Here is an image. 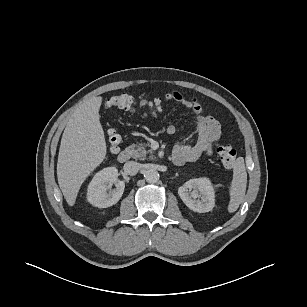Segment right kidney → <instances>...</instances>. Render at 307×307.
I'll return each mask as SVG.
<instances>
[{
  "label": "right kidney",
  "mask_w": 307,
  "mask_h": 307,
  "mask_svg": "<svg viewBox=\"0 0 307 307\" xmlns=\"http://www.w3.org/2000/svg\"><path fill=\"white\" fill-rule=\"evenodd\" d=\"M115 189H110L112 185ZM124 181L118 179V170L115 167H107L97 172L87 189V200L98 208H107L116 204L123 195Z\"/></svg>",
  "instance_id": "right-kidney-1"
}]
</instances>
